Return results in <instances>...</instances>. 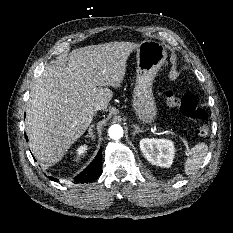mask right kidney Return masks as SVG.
<instances>
[{
  "label": "right kidney",
  "mask_w": 233,
  "mask_h": 233,
  "mask_svg": "<svg viewBox=\"0 0 233 233\" xmlns=\"http://www.w3.org/2000/svg\"><path fill=\"white\" fill-rule=\"evenodd\" d=\"M88 150V146L87 145H81L79 146L74 153H76L77 157H81L82 155H84L86 153V151Z\"/></svg>",
  "instance_id": "1"
}]
</instances>
